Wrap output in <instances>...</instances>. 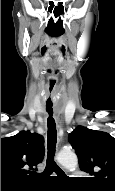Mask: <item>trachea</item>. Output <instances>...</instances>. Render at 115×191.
I'll return each mask as SVG.
<instances>
[{
	"label": "trachea",
	"mask_w": 115,
	"mask_h": 191,
	"mask_svg": "<svg viewBox=\"0 0 115 191\" xmlns=\"http://www.w3.org/2000/svg\"><path fill=\"white\" fill-rule=\"evenodd\" d=\"M46 111L49 115L47 119V125H48V135H47V162H46V168L43 175H48L53 172H55L58 175H64V172L61 170V168L56 164L54 161L55 156V150H56V142H57V131H56V123L53 118V109L52 108H46Z\"/></svg>",
	"instance_id": "obj_1"
}]
</instances>
